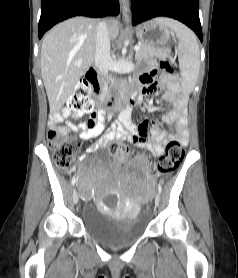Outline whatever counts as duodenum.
<instances>
[{"label":"duodenum","mask_w":238,"mask_h":278,"mask_svg":"<svg viewBox=\"0 0 238 278\" xmlns=\"http://www.w3.org/2000/svg\"><path fill=\"white\" fill-rule=\"evenodd\" d=\"M86 78L93 86L100 106H115L118 109H122L124 112H131L137 105V96L134 90H127L123 95H115L104 92L99 85L98 73L96 69H90L86 74Z\"/></svg>","instance_id":"1"}]
</instances>
